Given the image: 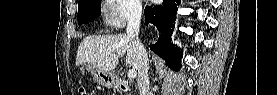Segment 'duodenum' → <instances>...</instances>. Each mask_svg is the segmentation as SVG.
I'll list each match as a JSON object with an SVG mask.
<instances>
[{
	"label": "duodenum",
	"instance_id": "obj_1",
	"mask_svg": "<svg viewBox=\"0 0 277 95\" xmlns=\"http://www.w3.org/2000/svg\"><path fill=\"white\" fill-rule=\"evenodd\" d=\"M119 86L122 90H128V86H127L126 81H119Z\"/></svg>",
	"mask_w": 277,
	"mask_h": 95
}]
</instances>
